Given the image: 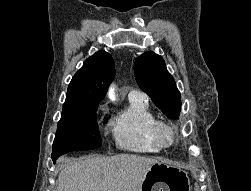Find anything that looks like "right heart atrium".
<instances>
[{"instance_id": "d8ad5b80", "label": "right heart atrium", "mask_w": 251, "mask_h": 191, "mask_svg": "<svg viewBox=\"0 0 251 191\" xmlns=\"http://www.w3.org/2000/svg\"><path fill=\"white\" fill-rule=\"evenodd\" d=\"M106 108L104 106H100L96 111V116L99 117L105 112Z\"/></svg>"}]
</instances>
